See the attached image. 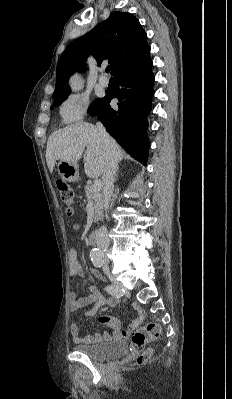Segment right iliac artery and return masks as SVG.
<instances>
[{"label":"right iliac artery","mask_w":232,"mask_h":399,"mask_svg":"<svg viewBox=\"0 0 232 399\" xmlns=\"http://www.w3.org/2000/svg\"><path fill=\"white\" fill-rule=\"evenodd\" d=\"M91 261L96 267H101L104 264V255H92Z\"/></svg>","instance_id":"82829eb1"}]
</instances>
